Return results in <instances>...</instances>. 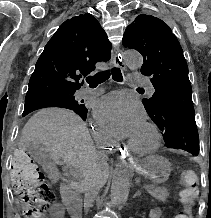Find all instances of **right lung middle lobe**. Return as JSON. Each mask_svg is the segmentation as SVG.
<instances>
[{"label": "right lung middle lobe", "instance_id": "1", "mask_svg": "<svg viewBox=\"0 0 211 218\" xmlns=\"http://www.w3.org/2000/svg\"><path fill=\"white\" fill-rule=\"evenodd\" d=\"M75 91L76 90L56 93L25 102L23 116L43 108L61 107L74 110L75 113L79 114L85 120L87 109L84 104H82L84 101H77L75 99L73 95Z\"/></svg>", "mask_w": 211, "mask_h": 218}]
</instances>
